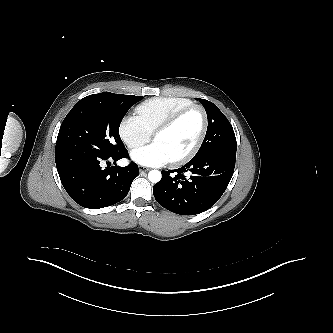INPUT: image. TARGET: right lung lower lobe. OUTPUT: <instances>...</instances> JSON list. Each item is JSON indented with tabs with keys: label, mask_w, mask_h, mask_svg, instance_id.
<instances>
[{
	"label": "right lung lower lobe",
	"mask_w": 333,
	"mask_h": 333,
	"mask_svg": "<svg viewBox=\"0 0 333 333\" xmlns=\"http://www.w3.org/2000/svg\"><path fill=\"white\" fill-rule=\"evenodd\" d=\"M129 158L127 149L103 155L76 146H56L55 161L63 187L79 205L100 209L126 197L132 181L138 176V166L131 162L126 167L102 169L103 161ZM109 163V162H107Z\"/></svg>",
	"instance_id": "obj_1"
}]
</instances>
